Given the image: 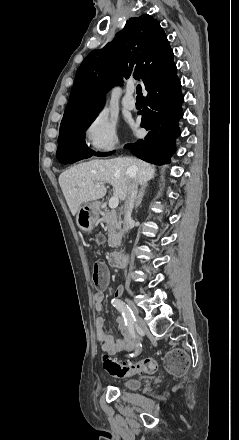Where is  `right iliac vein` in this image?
<instances>
[{
  "label": "right iliac vein",
  "instance_id": "obj_1",
  "mask_svg": "<svg viewBox=\"0 0 239 440\" xmlns=\"http://www.w3.org/2000/svg\"><path fill=\"white\" fill-rule=\"evenodd\" d=\"M131 305V307L133 308V309H135L134 308V306L132 305V304H130ZM136 319H137V323H138V325L140 326V327H144V321L142 320V318L140 317V316H138V315H136Z\"/></svg>",
  "mask_w": 239,
  "mask_h": 440
}]
</instances>
